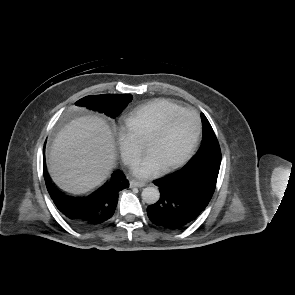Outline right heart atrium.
I'll return each instance as SVG.
<instances>
[{
    "mask_svg": "<svg viewBox=\"0 0 295 295\" xmlns=\"http://www.w3.org/2000/svg\"><path fill=\"white\" fill-rule=\"evenodd\" d=\"M117 143L123 161L131 165L140 154V144L126 126H120L117 130Z\"/></svg>",
    "mask_w": 295,
    "mask_h": 295,
    "instance_id": "obj_1",
    "label": "right heart atrium"
}]
</instances>
